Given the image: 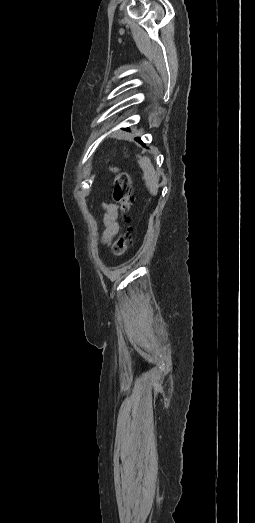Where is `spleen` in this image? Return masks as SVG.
Returning <instances> with one entry per match:
<instances>
[{
	"label": "spleen",
	"mask_w": 255,
	"mask_h": 523,
	"mask_svg": "<svg viewBox=\"0 0 255 523\" xmlns=\"http://www.w3.org/2000/svg\"><path fill=\"white\" fill-rule=\"evenodd\" d=\"M138 158V164L140 168H142L144 174L143 180H145V184L150 194H153V196H157L158 178L154 170V166H152L151 160L150 158H147V156H138Z\"/></svg>",
	"instance_id": "1"
}]
</instances>
